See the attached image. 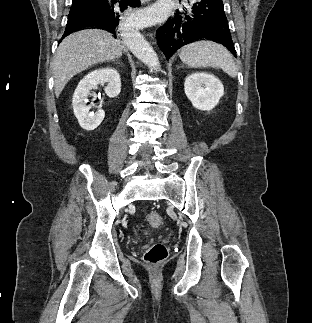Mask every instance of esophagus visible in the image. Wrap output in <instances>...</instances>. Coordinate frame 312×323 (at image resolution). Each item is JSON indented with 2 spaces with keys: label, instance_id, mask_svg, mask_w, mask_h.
Returning a JSON list of instances; mask_svg holds the SVG:
<instances>
[{
  "label": "esophagus",
  "instance_id": "1",
  "mask_svg": "<svg viewBox=\"0 0 312 323\" xmlns=\"http://www.w3.org/2000/svg\"><path fill=\"white\" fill-rule=\"evenodd\" d=\"M142 3L149 2V0H141Z\"/></svg>",
  "mask_w": 312,
  "mask_h": 323
}]
</instances>
